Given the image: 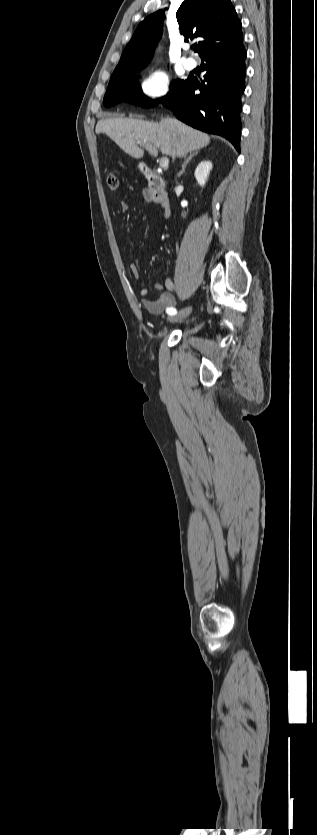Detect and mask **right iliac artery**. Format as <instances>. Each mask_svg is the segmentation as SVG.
<instances>
[{
  "mask_svg": "<svg viewBox=\"0 0 317 835\" xmlns=\"http://www.w3.org/2000/svg\"><path fill=\"white\" fill-rule=\"evenodd\" d=\"M167 313H168L169 315H174V314H176V313H177V310H176L175 308H169V309L167 310Z\"/></svg>",
  "mask_w": 317,
  "mask_h": 835,
  "instance_id": "right-iliac-artery-1",
  "label": "right iliac artery"
}]
</instances>
